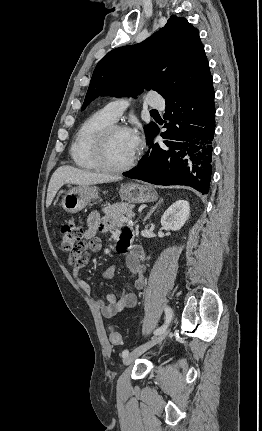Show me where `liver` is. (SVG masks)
<instances>
[{"label": "liver", "instance_id": "1", "mask_svg": "<svg viewBox=\"0 0 262 431\" xmlns=\"http://www.w3.org/2000/svg\"><path fill=\"white\" fill-rule=\"evenodd\" d=\"M121 177L112 176L108 174L93 173L90 171L81 170L72 166H61L52 175L46 198V207L48 208L58 190L64 184L74 185H94L100 183H107L120 180Z\"/></svg>", "mask_w": 262, "mask_h": 431}]
</instances>
